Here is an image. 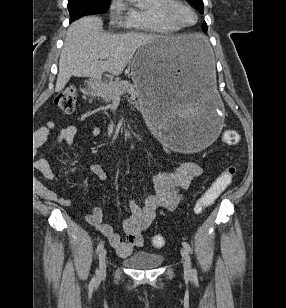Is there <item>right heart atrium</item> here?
<instances>
[{"mask_svg":"<svg viewBox=\"0 0 286 308\" xmlns=\"http://www.w3.org/2000/svg\"><path fill=\"white\" fill-rule=\"evenodd\" d=\"M109 16L113 23L127 24L129 18V6L126 0H110Z\"/></svg>","mask_w":286,"mask_h":308,"instance_id":"d8ad5b80","label":"right heart atrium"}]
</instances>
